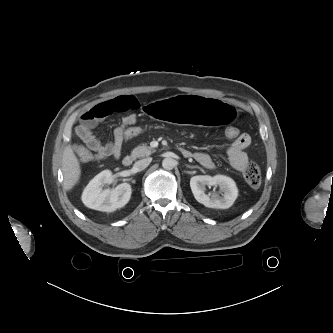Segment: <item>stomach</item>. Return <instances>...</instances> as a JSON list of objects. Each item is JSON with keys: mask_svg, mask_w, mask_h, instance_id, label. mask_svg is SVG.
<instances>
[{"mask_svg": "<svg viewBox=\"0 0 333 333\" xmlns=\"http://www.w3.org/2000/svg\"><path fill=\"white\" fill-rule=\"evenodd\" d=\"M143 114L149 120L160 123L189 126L198 125L228 127L237 118L235 107L214 97L203 94L169 95L147 100L143 105Z\"/></svg>", "mask_w": 333, "mask_h": 333, "instance_id": "0dacf381", "label": "stomach"}]
</instances>
